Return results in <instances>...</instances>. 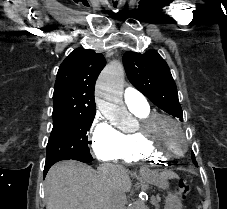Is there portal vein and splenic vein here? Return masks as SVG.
<instances>
[{"label":"portal vein and splenic vein","instance_id":"1","mask_svg":"<svg viewBox=\"0 0 227 209\" xmlns=\"http://www.w3.org/2000/svg\"><path fill=\"white\" fill-rule=\"evenodd\" d=\"M156 199H157V198H156L155 196H152V197H151V200H152V201H155Z\"/></svg>","mask_w":227,"mask_h":209}]
</instances>
